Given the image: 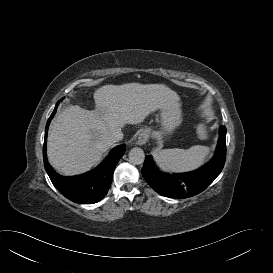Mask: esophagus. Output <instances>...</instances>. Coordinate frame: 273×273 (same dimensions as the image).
I'll return each instance as SVG.
<instances>
[{"label":"esophagus","mask_w":273,"mask_h":273,"mask_svg":"<svg viewBox=\"0 0 273 273\" xmlns=\"http://www.w3.org/2000/svg\"><path fill=\"white\" fill-rule=\"evenodd\" d=\"M148 140H149V131L144 130L140 133V135L137 139V144L144 145Z\"/></svg>","instance_id":"1"}]
</instances>
